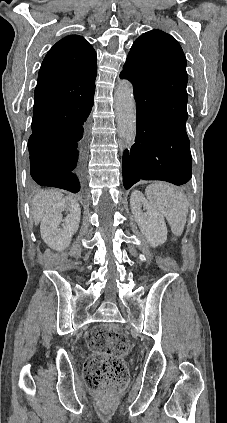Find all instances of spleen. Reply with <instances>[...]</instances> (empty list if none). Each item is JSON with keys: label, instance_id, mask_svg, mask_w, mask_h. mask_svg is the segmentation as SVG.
Segmentation results:
<instances>
[{"label": "spleen", "instance_id": "spleen-1", "mask_svg": "<svg viewBox=\"0 0 227 423\" xmlns=\"http://www.w3.org/2000/svg\"><path fill=\"white\" fill-rule=\"evenodd\" d=\"M145 194L150 206L165 215L172 233L182 235L189 208L183 192L167 182H154L147 186Z\"/></svg>", "mask_w": 227, "mask_h": 423}]
</instances>
